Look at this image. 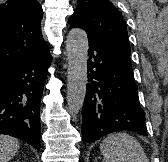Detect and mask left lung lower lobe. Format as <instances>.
Instances as JSON below:
<instances>
[{
  "instance_id": "1",
  "label": "left lung lower lobe",
  "mask_w": 168,
  "mask_h": 162,
  "mask_svg": "<svg viewBox=\"0 0 168 162\" xmlns=\"http://www.w3.org/2000/svg\"><path fill=\"white\" fill-rule=\"evenodd\" d=\"M88 40V85L81 127L83 140L93 142L123 130L147 136L145 113L139 103L130 58L89 35Z\"/></svg>"
}]
</instances>
